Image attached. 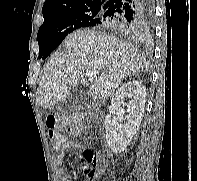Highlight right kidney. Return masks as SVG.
<instances>
[{"label": "right kidney", "mask_w": 197, "mask_h": 181, "mask_svg": "<svg viewBox=\"0 0 197 181\" xmlns=\"http://www.w3.org/2000/svg\"><path fill=\"white\" fill-rule=\"evenodd\" d=\"M126 100H129L127 103ZM146 89L141 81L133 80L123 84L114 94L105 119V139L115 153L124 152L137 133L144 115ZM128 113V122L120 124L122 114Z\"/></svg>", "instance_id": "obj_1"}]
</instances>
